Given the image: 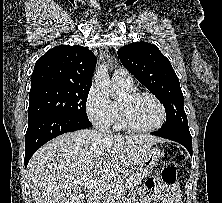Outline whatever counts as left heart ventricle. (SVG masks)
Segmentation results:
<instances>
[{
    "mask_svg": "<svg viewBox=\"0 0 222 203\" xmlns=\"http://www.w3.org/2000/svg\"><path fill=\"white\" fill-rule=\"evenodd\" d=\"M120 102H125L123 96ZM126 106L133 122L140 127H152L161 119L159 106L149 97H139Z\"/></svg>",
    "mask_w": 222,
    "mask_h": 203,
    "instance_id": "obj_1",
    "label": "left heart ventricle"
}]
</instances>
